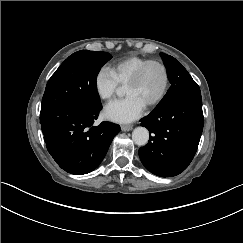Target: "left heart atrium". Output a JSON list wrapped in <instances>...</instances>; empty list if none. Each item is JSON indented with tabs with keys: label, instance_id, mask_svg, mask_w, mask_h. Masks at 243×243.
Masks as SVG:
<instances>
[{
	"label": "left heart atrium",
	"instance_id": "1",
	"mask_svg": "<svg viewBox=\"0 0 243 243\" xmlns=\"http://www.w3.org/2000/svg\"><path fill=\"white\" fill-rule=\"evenodd\" d=\"M146 104L136 95H128L123 99L114 100L104 106V116L113 122H131L140 117Z\"/></svg>",
	"mask_w": 243,
	"mask_h": 243
}]
</instances>
